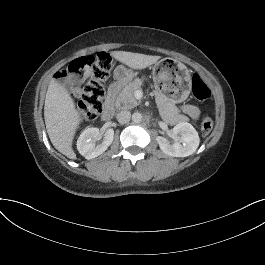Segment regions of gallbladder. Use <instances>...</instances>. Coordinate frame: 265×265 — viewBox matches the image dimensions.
<instances>
[{
    "label": "gallbladder",
    "instance_id": "obj_1",
    "mask_svg": "<svg viewBox=\"0 0 265 265\" xmlns=\"http://www.w3.org/2000/svg\"><path fill=\"white\" fill-rule=\"evenodd\" d=\"M68 81L72 85L79 86L81 84V82H80V75L77 74V73H69V75H68Z\"/></svg>",
    "mask_w": 265,
    "mask_h": 265
}]
</instances>
